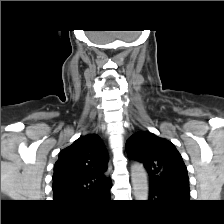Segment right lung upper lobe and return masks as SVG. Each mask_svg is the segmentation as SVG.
<instances>
[{
    "mask_svg": "<svg viewBox=\"0 0 224 224\" xmlns=\"http://www.w3.org/2000/svg\"><path fill=\"white\" fill-rule=\"evenodd\" d=\"M107 162L106 148L96 134L82 136L63 149L54 166V201L76 204L107 196L112 186L104 175Z\"/></svg>",
    "mask_w": 224,
    "mask_h": 224,
    "instance_id": "obj_1",
    "label": "right lung upper lobe"
}]
</instances>
